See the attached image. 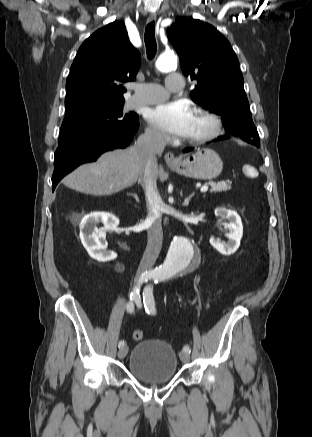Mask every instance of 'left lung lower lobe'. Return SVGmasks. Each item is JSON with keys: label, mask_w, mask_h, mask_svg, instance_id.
Returning a JSON list of instances; mask_svg holds the SVG:
<instances>
[{"label": "left lung lower lobe", "mask_w": 312, "mask_h": 437, "mask_svg": "<svg viewBox=\"0 0 312 437\" xmlns=\"http://www.w3.org/2000/svg\"><path fill=\"white\" fill-rule=\"evenodd\" d=\"M228 138H229V136H221V137H218V139H216V140H214V141H217V140H224V139H228ZM253 145L259 147V143H254ZM191 150H193V148H186V149L184 150V152H189V151H191Z\"/></svg>", "instance_id": "1"}]
</instances>
